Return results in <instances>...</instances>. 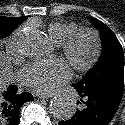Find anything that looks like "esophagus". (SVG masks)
<instances>
[{
	"label": "esophagus",
	"mask_w": 125,
	"mask_h": 125,
	"mask_svg": "<svg viewBox=\"0 0 125 125\" xmlns=\"http://www.w3.org/2000/svg\"><path fill=\"white\" fill-rule=\"evenodd\" d=\"M37 96L40 99H48V98L52 97V95H46V94H37Z\"/></svg>",
	"instance_id": "34e87169"
}]
</instances>
